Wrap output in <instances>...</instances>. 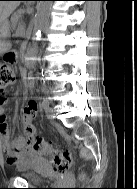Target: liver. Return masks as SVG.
Here are the masks:
<instances>
[{"mask_svg": "<svg viewBox=\"0 0 137 189\" xmlns=\"http://www.w3.org/2000/svg\"><path fill=\"white\" fill-rule=\"evenodd\" d=\"M19 4L20 1H0V28L4 26L7 18Z\"/></svg>", "mask_w": 137, "mask_h": 189, "instance_id": "obj_1", "label": "liver"}]
</instances>
